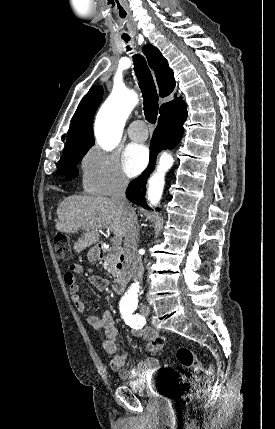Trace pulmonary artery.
<instances>
[{
  "label": "pulmonary artery",
  "mask_w": 275,
  "mask_h": 429,
  "mask_svg": "<svg viewBox=\"0 0 275 429\" xmlns=\"http://www.w3.org/2000/svg\"><path fill=\"white\" fill-rule=\"evenodd\" d=\"M129 137L137 142L145 141L148 137L147 128L142 120L133 121L128 128Z\"/></svg>",
  "instance_id": "obj_1"
}]
</instances>
